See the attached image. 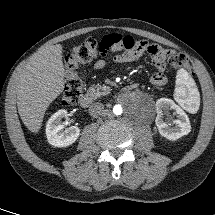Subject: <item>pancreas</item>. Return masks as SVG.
<instances>
[{"label": "pancreas", "mask_w": 215, "mask_h": 215, "mask_svg": "<svg viewBox=\"0 0 215 215\" xmlns=\"http://www.w3.org/2000/svg\"><path fill=\"white\" fill-rule=\"evenodd\" d=\"M110 93V88L108 86L93 85L88 90V94L93 98H99Z\"/></svg>", "instance_id": "pancreas-1"}]
</instances>
